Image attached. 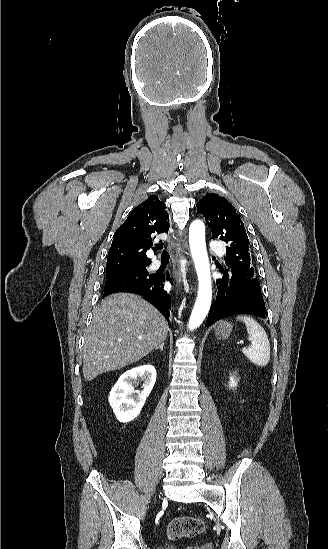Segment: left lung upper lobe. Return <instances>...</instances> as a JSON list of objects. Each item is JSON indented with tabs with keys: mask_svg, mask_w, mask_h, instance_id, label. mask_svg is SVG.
Wrapping results in <instances>:
<instances>
[{
	"mask_svg": "<svg viewBox=\"0 0 328 549\" xmlns=\"http://www.w3.org/2000/svg\"><path fill=\"white\" fill-rule=\"evenodd\" d=\"M197 209L205 217L212 231V239L218 238L227 244L226 270L254 276V268L250 265L249 239L235 208L224 197L211 193L197 203Z\"/></svg>",
	"mask_w": 328,
	"mask_h": 549,
	"instance_id": "left-lung-upper-lobe-1",
	"label": "left lung upper lobe"
}]
</instances>
